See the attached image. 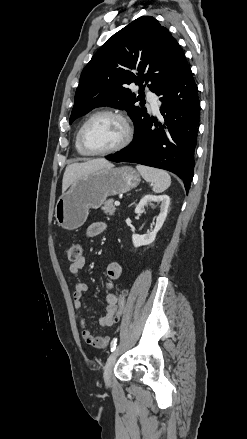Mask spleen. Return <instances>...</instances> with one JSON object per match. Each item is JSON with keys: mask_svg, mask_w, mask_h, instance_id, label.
I'll return each instance as SVG.
<instances>
[{"mask_svg": "<svg viewBox=\"0 0 247 439\" xmlns=\"http://www.w3.org/2000/svg\"><path fill=\"white\" fill-rule=\"evenodd\" d=\"M136 168L146 181L153 183L155 193L164 192L171 184V177L164 170L143 165H137Z\"/></svg>", "mask_w": 247, "mask_h": 439, "instance_id": "3e777b00", "label": "spleen"}]
</instances>
